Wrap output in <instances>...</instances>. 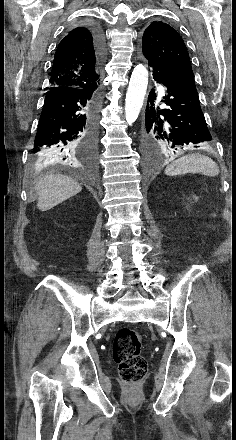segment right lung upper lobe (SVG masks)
<instances>
[{
  "instance_id": "right-lung-upper-lobe-1",
  "label": "right lung upper lobe",
  "mask_w": 236,
  "mask_h": 440,
  "mask_svg": "<svg viewBox=\"0 0 236 440\" xmlns=\"http://www.w3.org/2000/svg\"><path fill=\"white\" fill-rule=\"evenodd\" d=\"M101 65L90 29L76 27L57 47L48 89L82 88L94 84L100 80Z\"/></svg>"
}]
</instances>
